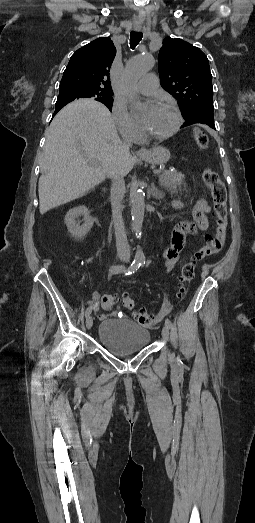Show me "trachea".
<instances>
[{"mask_svg":"<svg viewBox=\"0 0 255 523\" xmlns=\"http://www.w3.org/2000/svg\"><path fill=\"white\" fill-rule=\"evenodd\" d=\"M142 37V32H135L132 30L130 33V46L132 49H134L139 44V42L142 40Z\"/></svg>","mask_w":255,"mask_h":523,"instance_id":"obj_1","label":"trachea"}]
</instances>
